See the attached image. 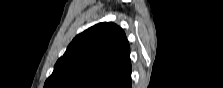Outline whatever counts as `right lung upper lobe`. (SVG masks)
Returning <instances> with one entry per match:
<instances>
[{
  "label": "right lung upper lobe",
  "mask_w": 223,
  "mask_h": 88,
  "mask_svg": "<svg viewBox=\"0 0 223 88\" xmlns=\"http://www.w3.org/2000/svg\"><path fill=\"white\" fill-rule=\"evenodd\" d=\"M130 46L124 31L103 22L77 35L45 88H131Z\"/></svg>",
  "instance_id": "right-lung-upper-lobe-1"
}]
</instances>
